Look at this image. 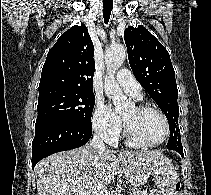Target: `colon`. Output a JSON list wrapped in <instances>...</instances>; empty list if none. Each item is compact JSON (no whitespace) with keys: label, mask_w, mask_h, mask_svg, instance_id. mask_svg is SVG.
<instances>
[{"label":"colon","mask_w":211,"mask_h":195,"mask_svg":"<svg viewBox=\"0 0 211 195\" xmlns=\"http://www.w3.org/2000/svg\"><path fill=\"white\" fill-rule=\"evenodd\" d=\"M174 189H175V190H178V189H179V183H175Z\"/></svg>","instance_id":"5ec220e1"}]
</instances>
